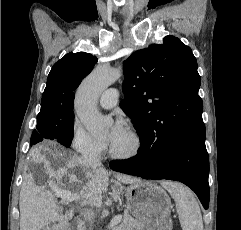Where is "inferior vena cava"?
Returning a JSON list of instances; mask_svg holds the SVG:
<instances>
[{"instance_id":"obj_1","label":"inferior vena cava","mask_w":241,"mask_h":230,"mask_svg":"<svg viewBox=\"0 0 241 230\" xmlns=\"http://www.w3.org/2000/svg\"><path fill=\"white\" fill-rule=\"evenodd\" d=\"M82 161L86 168L101 166V161H100L99 157L95 154H85L82 157ZM82 215H83V219L87 223V226H89V230H91L93 220H94L93 211L87 210Z\"/></svg>"}]
</instances>
